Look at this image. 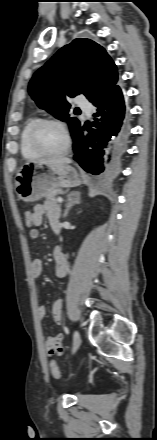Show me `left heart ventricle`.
<instances>
[{"label":"left heart ventricle","instance_id":"left-heart-ventricle-1","mask_svg":"<svg viewBox=\"0 0 157 440\" xmlns=\"http://www.w3.org/2000/svg\"><path fill=\"white\" fill-rule=\"evenodd\" d=\"M37 141L42 149L48 152H58L65 146L62 130L55 125H44L37 134Z\"/></svg>","mask_w":157,"mask_h":440}]
</instances>
